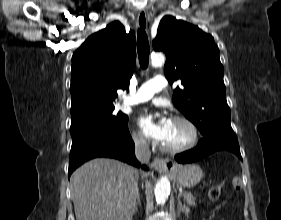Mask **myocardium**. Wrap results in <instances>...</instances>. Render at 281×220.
Masks as SVG:
<instances>
[{"label":"myocardium","mask_w":281,"mask_h":220,"mask_svg":"<svg viewBox=\"0 0 281 220\" xmlns=\"http://www.w3.org/2000/svg\"><path fill=\"white\" fill-rule=\"evenodd\" d=\"M172 121L184 123L190 130V138L185 144L177 147H168L162 144V150L167 153L176 154L192 149L197 144L199 138V131L196 124L188 117L181 115L173 117Z\"/></svg>","instance_id":"obj_1"}]
</instances>
